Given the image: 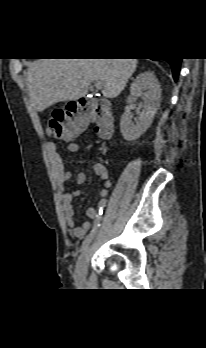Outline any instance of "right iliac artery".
<instances>
[{
    "label": "right iliac artery",
    "mask_w": 206,
    "mask_h": 348,
    "mask_svg": "<svg viewBox=\"0 0 206 348\" xmlns=\"http://www.w3.org/2000/svg\"><path fill=\"white\" fill-rule=\"evenodd\" d=\"M109 204V199L106 198H101L100 203H98L99 208H97V213L95 217V224L90 233L86 236L84 239L82 246H81V252L86 249V247L89 245L91 242L92 238L94 237L98 227L100 226V221L103 219V214H104V208Z\"/></svg>",
    "instance_id": "obj_1"
}]
</instances>
